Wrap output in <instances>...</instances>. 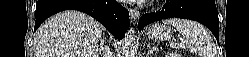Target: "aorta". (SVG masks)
I'll use <instances>...</instances> for the list:
<instances>
[{
	"label": "aorta",
	"instance_id": "1",
	"mask_svg": "<svg viewBox=\"0 0 249 57\" xmlns=\"http://www.w3.org/2000/svg\"><path fill=\"white\" fill-rule=\"evenodd\" d=\"M137 53L135 30L130 28L122 41V56L135 57Z\"/></svg>",
	"mask_w": 249,
	"mask_h": 57
}]
</instances>
